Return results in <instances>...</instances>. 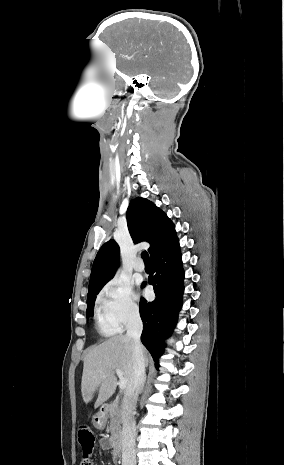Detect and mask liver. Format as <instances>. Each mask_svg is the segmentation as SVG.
Wrapping results in <instances>:
<instances>
[{
	"mask_svg": "<svg viewBox=\"0 0 284 465\" xmlns=\"http://www.w3.org/2000/svg\"><path fill=\"white\" fill-rule=\"evenodd\" d=\"M132 347L133 341L130 337L117 335L89 351L84 359L81 383L84 403H89L98 389L99 395L95 409L114 395L117 387L115 369L122 371L127 387L130 385L133 371ZM144 359L147 367L149 355L146 349H144Z\"/></svg>",
	"mask_w": 284,
	"mask_h": 465,
	"instance_id": "1",
	"label": "liver"
}]
</instances>
